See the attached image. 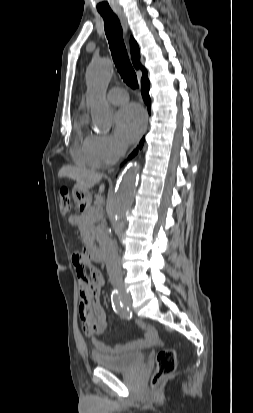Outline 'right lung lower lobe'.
Instances as JSON below:
<instances>
[{"instance_id": "1", "label": "right lung lower lobe", "mask_w": 253, "mask_h": 413, "mask_svg": "<svg viewBox=\"0 0 253 413\" xmlns=\"http://www.w3.org/2000/svg\"><path fill=\"white\" fill-rule=\"evenodd\" d=\"M141 88H142V96L143 99L146 103V105L148 106V111L150 113V106H151V101H150V97H149V88H150V82L147 78V73L144 74L141 78ZM143 142H140V148L142 147ZM137 153V151L135 150L130 156L129 159H131L133 156H135V154Z\"/></svg>"}]
</instances>
